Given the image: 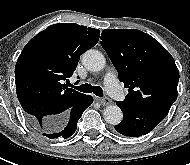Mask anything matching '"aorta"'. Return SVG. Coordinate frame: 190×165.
I'll return each instance as SVG.
<instances>
[{
  "instance_id": "obj_1",
  "label": "aorta",
  "mask_w": 190,
  "mask_h": 165,
  "mask_svg": "<svg viewBox=\"0 0 190 165\" xmlns=\"http://www.w3.org/2000/svg\"><path fill=\"white\" fill-rule=\"evenodd\" d=\"M82 62L84 66L92 72L101 71L106 64L104 55L94 49H90L83 54ZM104 118L107 123L117 125L122 121L123 113L116 105H109L104 109Z\"/></svg>"
}]
</instances>
